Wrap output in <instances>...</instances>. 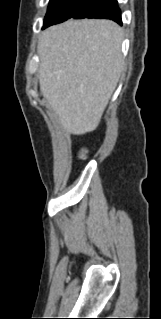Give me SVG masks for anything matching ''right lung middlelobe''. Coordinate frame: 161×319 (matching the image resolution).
Returning a JSON list of instances; mask_svg holds the SVG:
<instances>
[{"label": "right lung middle lobe", "mask_w": 161, "mask_h": 319, "mask_svg": "<svg viewBox=\"0 0 161 319\" xmlns=\"http://www.w3.org/2000/svg\"><path fill=\"white\" fill-rule=\"evenodd\" d=\"M99 2L100 0H50L42 29L70 18L82 19Z\"/></svg>", "instance_id": "obj_1"}]
</instances>
